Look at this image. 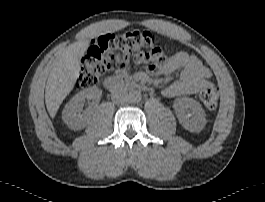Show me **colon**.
Instances as JSON below:
<instances>
[{
  "instance_id": "colon-1",
  "label": "colon",
  "mask_w": 265,
  "mask_h": 202,
  "mask_svg": "<svg viewBox=\"0 0 265 202\" xmlns=\"http://www.w3.org/2000/svg\"><path fill=\"white\" fill-rule=\"evenodd\" d=\"M160 53L159 38L148 30H129L103 35L90 46L87 56L81 63L77 88H93L113 69L122 71L131 61L148 63ZM199 97L208 110L217 108L219 91L216 87L202 90Z\"/></svg>"
}]
</instances>
